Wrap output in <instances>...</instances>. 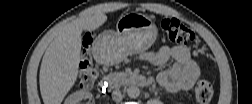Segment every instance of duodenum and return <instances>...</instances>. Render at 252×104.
Segmentation results:
<instances>
[{
	"mask_svg": "<svg viewBox=\"0 0 252 104\" xmlns=\"http://www.w3.org/2000/svg\"><path fill=\"white\" fill-rule=\"evenodd\" d=\"M120 83L127 86L149 87L152 84V79L142 75L113 73L100 81L99 88L106 92Z\"/></svg>",
	"mask_w": 252,
	"mask_h": 104,
	"instance_id": "1",
	"label": "duodenum"
}]
</instances>
